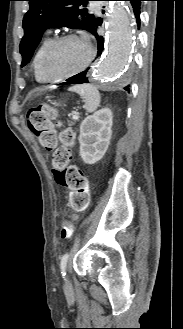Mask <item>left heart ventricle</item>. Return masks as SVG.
I'll return each instance as SVG.
<instances>
[{
  "instance_id": "b2bd125f",
  "label": "left heart ventricle",
  "mask_w": 183,
  "mask_h": 329,
  "mask_svg": "<svg viewBox=\"0 0 183 329\" xmlns=\"http://www.w3.org/2000/svg\"><path fill=\"white\" fill-rule=\"evenodd\" d=\"M89 49L80 39L60 43L51 53L48 67L52 75H63L80 68L87 60Z\"/></svg>"
}]
</instances>
